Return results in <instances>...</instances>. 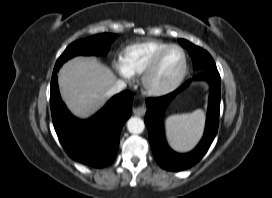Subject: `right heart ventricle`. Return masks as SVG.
I'll return each mask as SVG.
<instances>
[{
  "instance_id": "obj_1",
  "label": "right heart ventricle",
  "mask_w": 272,
  "mask_h": 198,
  "mask_svg": "<svg viewBox=\"0 0 272 198\" xmlns=\"http://www.w3.org/2000/svg\"><path fill=\"white\" fill-rule=\"evenodd\" d=\"M168 45L170 44L157 40L134 43L124 49L121 63L131 75H141L155 56Z\"/></svg>"
}]
</instances>
